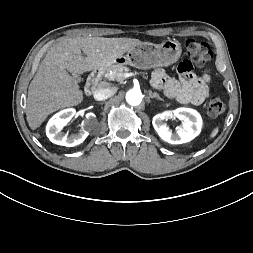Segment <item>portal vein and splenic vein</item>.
I'll return each mask as SVG.
<instances>
[{
    "label": "portal vein and splenic vein",
    "instance_id": "portal-vein-and-splenic-vein-1",
    "mask_svg": "<svg viewBox=\"0 0 253 253\" xmlns=\"http://www.w3.org/2000/svg\"><path fill=\"white\" fill-rule=\"evenodd\" d=\"M129 76H131V74H129V73L124 74V78H127Z\"/></svg>",
    "mask_w": 253,
    "mask_h": 253
}]
</instances>
